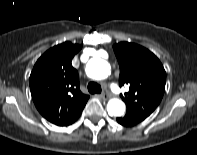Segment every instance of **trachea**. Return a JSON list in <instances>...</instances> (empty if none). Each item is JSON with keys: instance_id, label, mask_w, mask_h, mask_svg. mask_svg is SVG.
I'll use <instances>...</instances> for the list:
<instances>
[{"instance_id": "obj_1", "label": "trachea", "mask_w": 197, "mask_h": 155, "mask_svg": "<svg viewBox=\"0 0 197 155\" xmlns=\"http://www.w3.org/2000/svg\"><path fill=\"white\" fill-rule=\"evenodd\" d=\"M88 91L91 94H99L101 93L102 89L101 86L99 84H97L96 82H90L88 84Z\"/></svg>"}]
</instances>
